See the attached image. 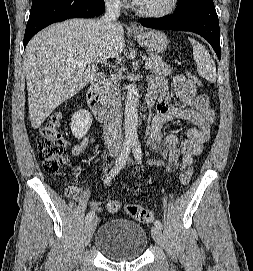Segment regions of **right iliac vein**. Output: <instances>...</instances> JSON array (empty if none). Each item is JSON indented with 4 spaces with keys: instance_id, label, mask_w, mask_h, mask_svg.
Here are the masks:
<instances>
[{
    "instance_id": "right-iliac-vein-1",
    "label": "right iliac vein",
    "mask_w": 253,
    "mask_h": 271,
    "mask_svg": "<svg viewBox=\"0 0 253 271\" xmlns=\"http://www.w3.org/2000/svg\"><path fill=\"white\" fill-rule=\"evenodd\" d=\"M117 156H118L117 152L112 153V157L115 158ZM96 226H97V217H93L90 221L87 222L84 231V242L86 245L90 242Z\"/></svg>"
}]
</instances>
